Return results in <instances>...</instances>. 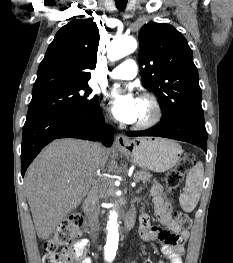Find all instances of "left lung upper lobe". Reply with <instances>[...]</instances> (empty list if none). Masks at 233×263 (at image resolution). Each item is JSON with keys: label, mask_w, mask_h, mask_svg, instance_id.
<instances>
[{"label": "left lung upper lobe", "mask_w": 233, "mask_h": 263, "mask_svg": "<svg viewBox=\"0 0 233 263\" xmlns=\"http://www.w3.org/2000/svg\"><path fill=\"white\" fill-rule=\"evenodd\" d=\"M139 42L142 83L159 99L161 120L204 116L198 70L184 36L169 24L150 22Z\"/></svg>", "instance_id": "obj_1"}]
</instances>
